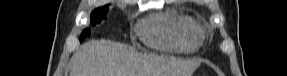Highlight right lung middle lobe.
Returning a JSON list of instances; mask_svg holds the SVG:
<instances>
[{
    "label": "right lung middle lobe",
    "instance_id": "dd1d6c3e",
    "mask_svg": "<svg viewBox=\"0 0 287 76\" xmlns=\"http://www.w3.org/2000/svg\"><path fill=\"white\" fill-rule=\"evenodd\" d=\"M109 7L106 5L104 7L97 8L91 13V24L96 25L100 23L103 19H106ZM90 36V31L84 30L80 36V41L82 42L85 37Z\"/></svg>",
    "mask_w": 287,
    "mask_h": 76
}]
</instances>
